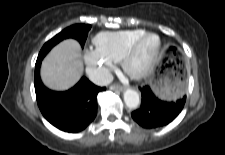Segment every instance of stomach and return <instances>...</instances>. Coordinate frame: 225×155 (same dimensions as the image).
<instances>
[{"mask_svg": "<svg viewBox=\"0 0 225 155\" xmlns=\"http://www.w3.org/2000/svg\"><path fill=\"white\" fill-rule=\"evenodd\" d=\"M148 82L154 93L163 100H176L183 94L184 80L173 68L162 69L161 65L158 66Z\"/></svg>", "mask_w": 225, "mask_h": 155, "instance_id": "obj_1", "label": "stomach"}]
</instances>
